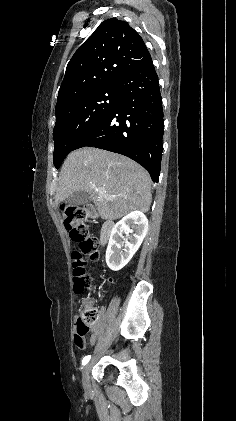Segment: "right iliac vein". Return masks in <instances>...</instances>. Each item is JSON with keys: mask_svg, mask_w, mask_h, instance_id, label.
<instances>
[{"mask_svg": "<svg viewBox=\"0 0 236 421\" xmlns=\"http://www.w3.org/2000/svg\"><path fill=\"white\" fill-rule=\"evenodd\" d=\"M90 369H91V364L88 363L86 364L82 372V384L84 388H88L90 386V375H89Z\"/></svg>", "mask_w": 236, "mask_h": 421, "instance_id": "right-iliac-vein-1", "label": "right iliac vein"}]
</instances>
